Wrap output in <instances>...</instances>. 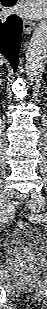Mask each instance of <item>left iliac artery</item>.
I'll use <instances>...</instances> for the list:
<instances>
[{
	"label": "left iliac artery",
	"instance_id": "44dca946",
	"mask_svg": "<svg viewBox=\"0 0 47 309\" xmlns=\"http://www.w3.org/2000/svg\"><path fill=\"white\" fill-rule=\"evenodd\" d=\"M32 220H35V221H47V215L44 214V215H33L32 216Z\"/></svg>",
	"mask_w": 47,
	"mask_h": 309
}]
</instances>
